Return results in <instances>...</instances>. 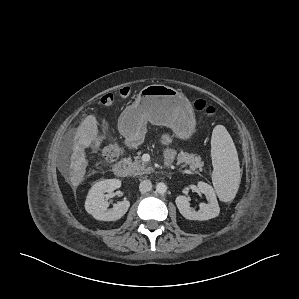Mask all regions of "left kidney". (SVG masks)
<instances>
[{
  "label": "left kidney",
  "mask_w": 299,
  "mask_h": 299,
  "mask_svg": "<svg viewBox=\"0 0 299 299\" xmlns=\"http://www.w3.org/2000/svg\"><path fill=\"white\" fill-rule=\"evenodd\" d=\"M199 192L203 193L208 203H201L200 209L195 211L190 207L189 200L182 195L176 197L175 203L179 212L188 220H209L219 215L220 208L213 187L205 182H198Z\"/></svg>",
  "instance_id": "1"
}]
</instances>
